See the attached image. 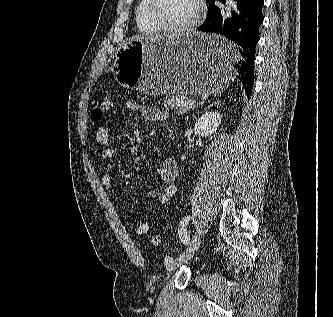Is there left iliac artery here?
<instances>
[{"label": "left iliac artery", "instance_id": "obj_1", "mask_svg": "<svg viewBox=\"0 0 333 317\" xmlns=\"http://www.w3.org/2000/svg\"><path fill=\"white\" fill-rule=\"evenodd\" d=\"M190 218H191L190 216H185L180 221L179 228H178L179 237H180L181 241L183 242V244H185V245H189V237L187 235V231L186 230H187V226H188ZM187 249H186V251H187ZM172 260H173V257L167 256L165 258V263L168 264Z\"/></svg>", "mask_w": 333, "mask_h": 317}]
</instances>
